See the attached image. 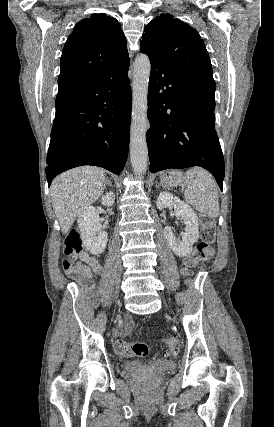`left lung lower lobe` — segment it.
<instances>
[{
  "label": "left lung lower lobe",
  "instance_id": "1",
  "mask_svg": "<svg viewBox=\"0 0 274 427\" xmlns=\"http://www.w3.org/2000/svg\"><path fill=\"white\" fill-rule=\"evenodd\" d=\"M146 140L150 172L200 166L223 188L224 159L215 131V84L185 76L152 58Z\"/></svg>",
  "mask_w": 274,
  "mask_h": 427
}]
</instances>
